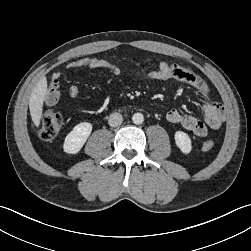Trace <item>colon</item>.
<instances>
[{"instance_id":"colon-1","label":"colon","mask_w":251,"mask_h":251,"mask_svg":"<svg viewBox=\"0 0 251 251\" xmlns=\"http://www.w3.org/2000/svg\"><path fill=\"white\" fill-rule=\"evenodd\" d=\"M62 126V117L58 112L55 111H47L45 112L37 126H36V130L38 135L44 139V140H51L53 138H55ZM214 143L212 140H207L204 141L201 144V148L204 151H209L213 148Z\"/></svg>"}]
</instances>
